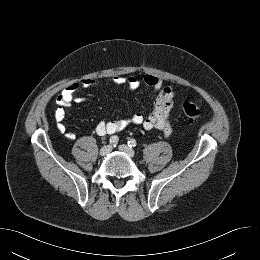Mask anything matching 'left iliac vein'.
<instances>
[{
	"instance_id": "left-iliac-vein-1",
	"label": "left iliac vein",
	"mask_w": 260,
	"mask_h": 260,
	"mask_svg": "<svg viewBox=\"0 0 260 260\" xmlns=\"http://www.w3.org/2000/svg\"><path fill=\"white\" fill-rule=\"evenodd\" d=\"M119 150L125 154H127L130 157H133L135 155V152L133 149L129 148L128 146L122 144L119 146Z\"/></svg>"
}]
</instances>
